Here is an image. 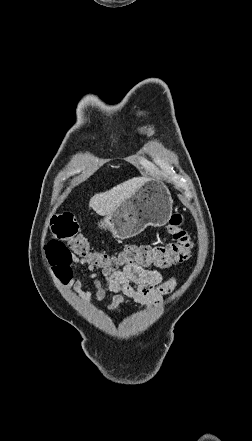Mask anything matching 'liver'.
Returning <instances> with one entry per match:
<instances>
[{
    "label": "liver",
    "instance_id": "1",
    "mask_svg": "<svg viewBox=\"0 0 252 441\" xmlns=\"http://www.w3.org/2000/svg\"><path fill=\"white\" fill-rule=\"evenodd\" d=\"M148 181L146 177H135L129 179L112 189L95 194L89 202L91 207L98 215L107 216L111 214L121 202L129 198L135 191Z\"/></svg>",
    "mask_w": 252,
    "mask_h": 441
}]
</instances>
